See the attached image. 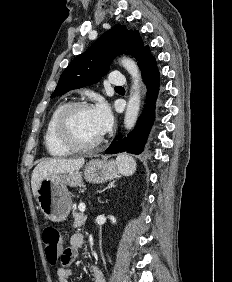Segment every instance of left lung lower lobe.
Segmentation results:
<instances>
[{"label":"left lung lower lobe","mask_w":232,"mask_h":282,"mask_svg":"<svg viewBox=\"0 0 232 282\" xmlns=\"http://www.w3.org/2000/svg\"><path fill=\"white\" fill-rule=\"evenodd\" d=\"M138 66L142 73V78L147 85V104L144 113L139 118L135 129L123 140H114L106 149V154L127 152L140 154L144 150L150 128L154 120L155 100L159 91V71L155 58L150 54L149 47L146 46Z\"/></svg>","instance_id":"left-lung-lower-lobe-1"}]
</instances>
